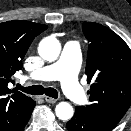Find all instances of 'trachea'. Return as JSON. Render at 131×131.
I'll return each instance as SVG.
<instances>
[{
    "label": "trachea",
    "mask_w": 131,
    "mask_h": 131,
    "mask_svg": "<svg viewBox=\"0 0 131 131\" xmlns=\"http://www.w3.org/2000/svg\"><path fill=\"white\" fill-rule=\"evenodd\" d=\"M17 89L21 90L27 94L32 95H42L46 94L49 97L52 98H58V92L54 88H44L42 85H32L29 87H23L21 85H17Z\"/></svg>",
    "instance_id": "1"
}]
</instances>
